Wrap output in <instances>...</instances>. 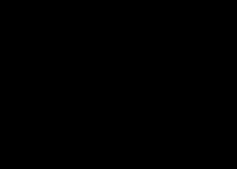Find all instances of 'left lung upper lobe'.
<instances>
[{
	"instance_id": "5c2ea615",
	"label": "left lung upper lobe",
	"mask_w": 237,
	"mask_h": 169,
	"mask_svg": "<svg viewBox=\"0 0 237 169\" xmlns=\"http://www.w3.org/2000/svg\"><path fill=\"white\" fill-rule=\"evenodd\" d=\"M128 39L145 58L153 88L151 102L190 117L195 104L196 72L187 53L156 32L136 31L129 33Z\"/></svg>"
}]
</instances>
